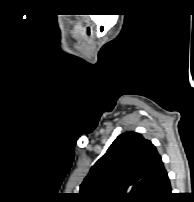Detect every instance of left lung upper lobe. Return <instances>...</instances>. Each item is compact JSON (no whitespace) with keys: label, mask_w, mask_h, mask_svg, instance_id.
Wrapping results in <instances>:
<instances>
[{"label":"left lung upper lobe","mask_w":194,"mask_h":202,"mask_svg":"<svg viewBox=\"0 0 194 202\" xmlns=\"http://www.w3.org/2000/svg\"><path fill=\"white\" fill-rule=\"evenodd\" d=\"M165 171L155 146L126 132L92 166L79 196L84 202H150Z\"/></svg>","instance_id":"obj_1"}]
</instances>
